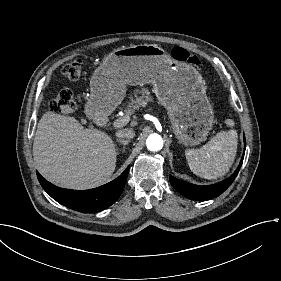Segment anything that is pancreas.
Segmentation results:
<instances>
[{
  "label": "pancreas",
  "mask_w": 281,
  "mask_h": 281,
  "mask_svg": "<svg viewBox=\"0 0 281 281\" xmlns=\"http://www.w3.org/2000/svg\"><path fill=\"white\" fill-rule=\"evenodd\" d=\"M130 103L128 108L125 109V113L133 114L135 110L140 107H145L148 102L153 101V97L150 95V91L147 88H141L134 90V97L129 96Z\"/></svg>",
  "instance_id": "1"
}]
</instances>
